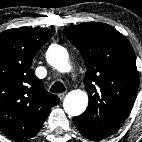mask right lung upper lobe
Here are the masks:
<instances>
[{"instance_id": "obj_1", "label": "right lung upper lobe", "mask_w": 142, "mask_h": 142, "mask_svg": "<svg viewBox=\"0 0 142 142\" xmlns=\"http://www.w3.org/2000/svg\"><path fill=\"white\" fill-rule=\"evenodd\" d=\"M51 36L49 29L30 27L0 33V131L15 141L35 136L60 102L31 69L37 51Z\"/></svg>"}]
</instances>
